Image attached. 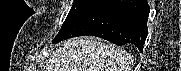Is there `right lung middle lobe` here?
Wrapping results in <instances>:
<instances>
[{"label":"right lung middle lobe","mask_w":181,"mask_h":71,"mask_svg":"<svg viewBox=\"0 0 181 71\" xmlns=\"http://www.w3.org/2000/svg\"><path fill=\"white\" fill-rule=\"evenodd\" d=\"M93 1L94 0H75V2L73 3V7L71 8L63 26L69 23L70 21H72L79 13H81Z\"/></svg>","instance_id":"dd1d6c3e"}]
</instances>
